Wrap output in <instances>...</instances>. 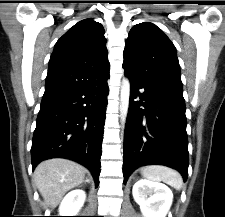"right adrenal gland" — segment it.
<instances>
[{
	"instance_id": "1",
	"label": "right adrenal gland",
	"mask_w": 225,
	"mask_h": 217,
	"mask_svg": "<svg viewBox=\"0 0 225 217\" xmlns=\"http://www.w3.org/2000/svg\"><path fill=\"white\" fill-rule=\"evenodd\" d=\"M85 182H90L88 178H86Z\"/></svg>"
}]
</instances>
